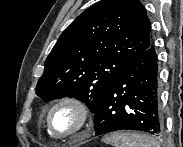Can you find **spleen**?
<instances>
[{"label":"spleen","instance_id":"spleen-1","mask_svg":"<svg viewBox=\"0 0 183 147\" xmlns=\"http://www.w3.org/2000/svg\"><path fill=\"white\" fill-rule=\"evenodd\" d=\"M102 140L114 147H160L152 137L135 132H114L104 136Z\"/></svg>","mask_w":183,"mask_h":147}]
</instances>
